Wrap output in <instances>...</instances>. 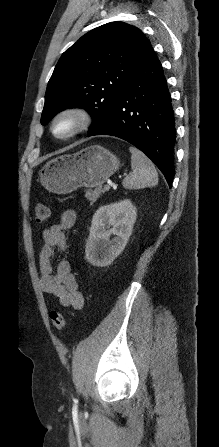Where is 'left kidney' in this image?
Segmentation results:
<instances>
[{"label": "left kidney", "mask_w": 219, "mask_h": 447, "mask_svg": "<svg viewBox=\"0 0 219 447\" xmlns=\"http://www.w3.org/2000/svg\"><path fill=\"white\" fill-rule=\"evenodd\" d=\"M136 207L130 200L101 206L93 215L85 257L93 266L110 265L124 250L136 221ZM115 235L112 240L110 236Z\"/></svg>", "instance_id": "obj_1"}]
</instances>
